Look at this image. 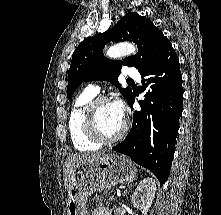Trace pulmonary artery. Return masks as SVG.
<instances>
[{"mask_svg":"<svg viewBox=\"0 0 221 215\" xmlns=\"http://www.w3.org/2000/svg\"><path fill=\"white\" fill-rule=\"evenodd\" d=\"M123 75L129 78L135 79V80L140 79V74L138 70L134 67H125L123 71ZM86 91L92 95H96L99 92V87L94 84H90L88 85Z\"/></svg>","mask_w":221,"mask_h":215,"instance_id":"e3ab8cb5","label":"pulmonary artery"}]
</instances>
